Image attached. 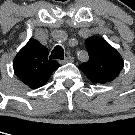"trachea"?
<instances>
[{"label":"trachea","instance_id":"trachea-1","mask_svg":"<svg viewBox=\"0 0 135 135\" xmlns=\"http://www.w3.org/2000/svg\"><path fill=\"white\" fill-rule=\"evenodd\" d=\"M51 59H60L63 60L64 59V50L61 46H56L50 55Z\"/></svg>","mask_w":135,"mask_h":135}]
</instances>
